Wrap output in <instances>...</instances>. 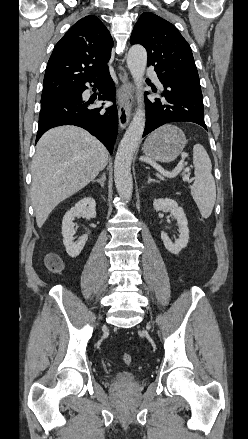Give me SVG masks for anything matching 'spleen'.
<instances>
[{"instance_id": "1", "label": "spleen", "mask_w": 248, "mask_h": 439, "mask_svg": "<svg viewBox=\"0 0 248 439\" xmlns=\"http://www.w3.org/2000/svg\"><path fill=\"white\" fill-rule=\"evenodd\" d=\"M193 165L195 180L191 187V195L202 217L208 218L215 204L216 186L211 174V160L201 144H195L193 147Z\"/></svg>"}]
</instances>
